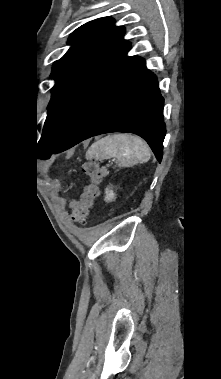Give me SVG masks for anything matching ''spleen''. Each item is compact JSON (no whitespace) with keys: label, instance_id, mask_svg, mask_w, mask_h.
I'll use <instances>...</instances> for the list:
<instances>
[{"label":"spleen","instance_id":"obj_1","mask_svg":"<svg viewBox=\"0 0 221 379\" xmlns=\"http://www.w3.org/2000/svg\"><path fill=\"white\" fill-rule=\"evenodd\" d=\"M148 145L139 137L129 134H114L101 138L91 145L87 158L95 160L117 159L121 168L148 162L150 159Z\"/></svg>","mask_w":221,"mask_h":379}]
</instances>
